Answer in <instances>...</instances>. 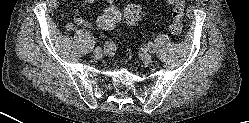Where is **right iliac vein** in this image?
Listing matches in <instances>:
<instances>
[{
  "instance_id": "63e3f726",
  "label": "right iliac vein",
  "mask_w": 249,
  "mask_h": 123,
  "mask_svg": "<svg viewBox=\"0 0 249 123\" xmlns=\"http://www.w3.org/2000/svg\"><path fill=\"white\" fill-rule=\"evenodd\" d=\"M102 49L100 47H97L94 49L93 51V55L96 57V58H100L102 56Z\"/></svg>"
}]
</instances>
